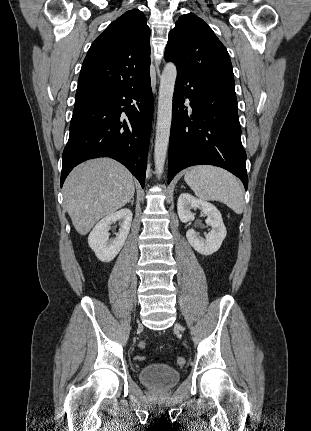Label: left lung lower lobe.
<instances>
[{"mask_svg":"<svg viewBox=\"0 0 311 431\" xmlns=\"http://www.w3.org/2000/svg\"><path fill=\"white\" fill-rule=\"evenodd\" d=\"M190 99L191 109L184 106ZM199 164L222 167L248 187L237 98L232 85L200 80L177 70L169 140L168 183Z\"/></svg>","mask_w":311,"mask_h":431,"instance_id":"1","label":"left lung lower lobe"}]
</instances>
